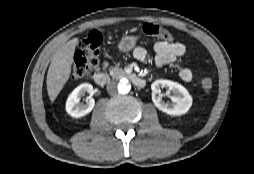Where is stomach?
Returning <instances> with one entry per match:
<instances>
[{
  "instance_id": "1",
  "label": "stomach",
  "mask_w": 254,
  "mask_h": 174,
  "mask_svg": "<svg viewBox=\"0 0 254 174\" xmlns=\"http://www.w3.org/2000/svg\"><path fill=\"white\" fill-rule=\"evenodd\" d=\"M137 40L136 36H124L118 43V49L121 52H129L135 47Z\"/></svg>"
}]
</instances>
